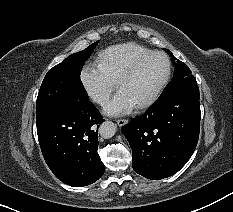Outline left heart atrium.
I'll return each instance as SVG.
<instances>
[{"label": "left heart atrium", "mask_w": 233, "mask_h": 212, "mask_svg": "<svg viewBox=\"0 0 233 212\" xmlns=\"http://www.w3.org/2000/svg\"><path fill=\"white\" fill-rule=\"evenodd\" d=\"M134 107L132 101L123 92L119 91L106 105L105 111L110 115H123L129 113Z\"/></svg>", "instance_id": "obj_1"}]
</instances>
